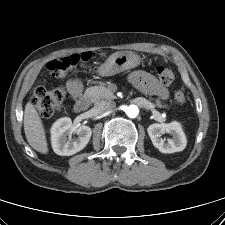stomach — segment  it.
<instances>
[{
    "instance_id": "obj_1",
    "label": "stomach",
    "mask_w": 225,
    "mask_h": 225,
    "mask_svg": "<svg viewBox=\"0 0 225 225\" xmlns=\"http://www.w3.org/2000/svg\"><path fill=\"white\" fill-rule=\"evenodd\" d=\"M140 56L131 51L115 52L98 68L101 76H112L128 69L137 67L140 64Z\"/></svg>"
}]
</instances>
